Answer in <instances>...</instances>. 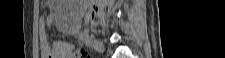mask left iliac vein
Returning <instances> with one entry per match:
<instances>
[{"instance_id": "1", "label": "left iliac vein", "mask_w": 225, "mask_h": 58, "mask_svg": "<svg viewBox=\"0 0 225 58\" xmlns=\"http://www.w3.org/2000/svg\"><path fill=\"white\" fill-rule=\"evenodd\" d=\"M88 43L95 51L104 52V45L100 41L88 39Z\"/></svg>"}]
</instances>
